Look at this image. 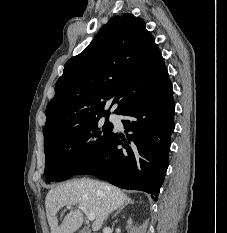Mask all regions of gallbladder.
<instances>
[{
	"label": "gallbladder",
	"mask_w": 227,
	"mask_h": 233,
	"mask_svg": "<svg viewBox=\"0 0 227 233\" xmlns=\"http://www.w3.org/2000/svg\"><path fill=\"white\" fill-rule=\"evenodd\" d=\"M80 233H86L84 230H81Z\"/></svg>",
	"instance_id": "gallbladder-1"
}]
</instances>
